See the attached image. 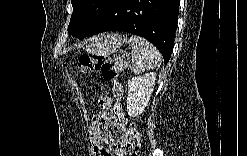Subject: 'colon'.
I'll list each match as a JSON object with an SVG mask.
<instances>
[{
    "label": "colon",
    "instance_id": "5ec220e1",
    "mask_svg": "<svg viewBox=\"0 0 247 156\" xmlns=\"http://www.w3.org/2000/svg\"><path fill=\"white\" fill-rule=\"evenodd\" d=\"M78 66L82 74L91 72H101L103 79L112 82L114 85L119 84V72L115 63L108 57L102 54L96 55H81L78 61ZM131 137L130 148L127 155L136 156L140 150V134L134 123H131L128 128Z\"/></svg>",
    "mask_w": 247,
    "mask_h": 156
}]
</instances>
